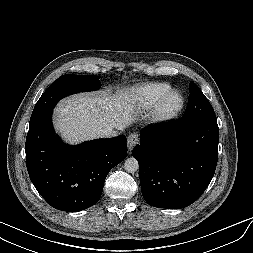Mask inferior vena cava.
Returning a JSON list of instances; mask_svg holds the SVG:
<instances>
[{"instance_id":"obj_1","label":"inferior vena cava","mask_w":253,"mask_h":253,"mask_svg":"<svg viewBox=\"0 0 253 253\" xmlns=\"http://www.w3.org/2000/svg\"><path fill=\"white\" fill-rule=\"evenodd\" d=\"M97 134L100 137H112L115 136L116 132L113 130L112 127H105L98 130Z\"/></svg>"}]
</instances>
